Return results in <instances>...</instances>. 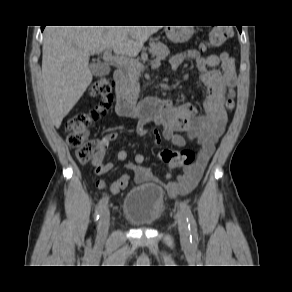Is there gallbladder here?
<instances>
[{"label": "gallbladder", "instance_id": "1", "mask_svg": "<svg viewBox=\"0 0 292 292\" xmlns=\"http://www.w3.org/2000/svg\"><path fill=\"white\" fill-rule=\"evenodd\" d=\"M90 70H91L92 74L96 75V76H103V75H106L108 73L107 67H105L104 65H101V64H91Z\"/></svg>", "mask_w": 292, "mask_h": 292}]
</instances>
